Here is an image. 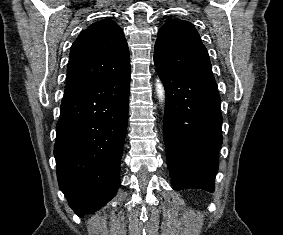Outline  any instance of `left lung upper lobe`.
Returning a JSON list of instances; mask_svg holds the SVG:
<instances>
[{
    "label": "left lung upper lobe",
    "mask_w": 283,
    "mask_h": 235,
    "mask_svg": "<svg viewBox=\"0 0 283 235\" xmlns=\"http://www.w3.org/2000/svg\"><path fill=\"white\" fill-rule=\"evenodd\" d=\"M154 53L155 65L161 69L214 81L207 49L190 22L167 21L159 29Z\"/></svg>",
    "instance_id": "5c2ea615"
}]
</instances>
